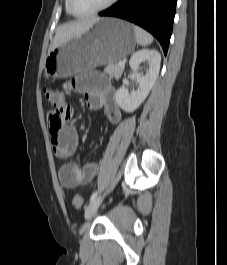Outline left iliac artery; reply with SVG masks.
Listing matches in <instances>:
<instances>
[{
    "mask_svg": "<svg viewBox=\"0 0 227 265\" xmlns=\"http://www.w3.org/2000/svg\"><path fill=\"white\" fill-rule=\"evenodd\" d=\"M97 197V191L93 192V194L90 197V203L93 202Z\"/></svg>",
    "mask_w": 227,
    "mask_h": 265,
    "instance_id": "44dca946",
    "label": "left iliac artery"
}]
</instances>
